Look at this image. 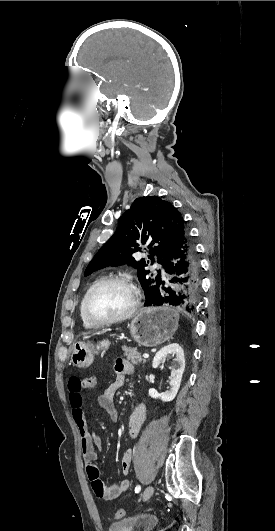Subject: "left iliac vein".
Here are the masks:
<instances>
[{
    "label": "left iliac vein",
    "instance_id": "left-iliac-vein-1",
    "mask_svg": "<svg viewBox=\"0 0 275 531\" xmlns=\"http://www.w3.org/2000/svg\"><path fill=\"white\" fill-rule=\"evenodd\" d=\"M153 492H154V488L153 486H148L145 490H144V493H143V500L144 501H147L152 495H153Z\"/></svg>",
    "mask_w": 275,
    "mask_h": 531
}]
</instances>
